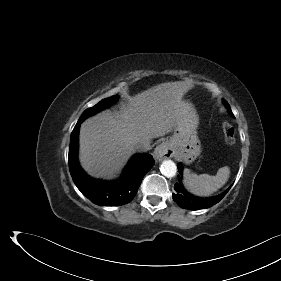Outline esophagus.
Here are the masks:
<instances>
[{
  "mask_svg": "<svg viewBox=\"0 0 281 281\" xmlns=\"http://www.w3.org/2000/svg\"><path fill=\"white\" fill-rule=\"evenodd\" d=\"M174 150L170 143L162 142L154 150V158L158 161L173 157Z\"/></svg>",
  "mask_w": 281,
  "mask_h": 281,
  "instance_id": "esophagus-1",
  "label": "esophagus"
}]
</instances>
